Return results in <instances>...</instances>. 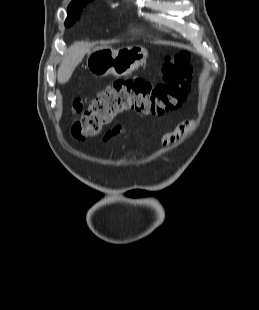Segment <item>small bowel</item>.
Here are the masks:
<instances>
[{"label": "small bowel", "instance_id": "c3829d8e", "mask_svg": "<svg viewBox=\"0 0 259 310\" xmlns=\"http://www.w3.org/2000/svg\"><path fill=\"white\" fill-rule=\"evenodd\" d=\"M193 127V123L191 121H183L177 125V127L165 134L162 138V145L164 148H167L171 143L179 140L184 134L188 133ZM125 134L124 128L121 126H116L112 130L108 131L102 138L101 142L106 143L116 137L123 136Z\"/></svg>", "mask_w": 259, "mask_h": 310}]
</instances>
